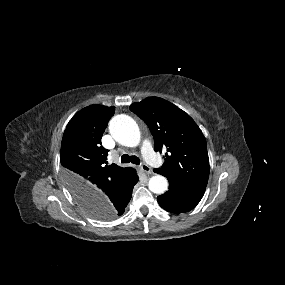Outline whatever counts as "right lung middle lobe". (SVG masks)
<instances>
[{"label":"right lung middle lobe","mask_w":285,"mask_h":285,"mask_svg":"<svg viewBox=\"0 0 285 285\" xmlns=\"http://www.w3.org/2000/svg\"><path fill=\"white\" fill-rule=\"evenodd\" d=\"M81 207L89 215H91L92 217L97 218L99 220H110V219H113L117 216V215L113 214L112 211L107 207H97V208L95 207L94 208V207H90L88 205H81Z\"/></svg>","instance_id":"1"}]
</instances>
